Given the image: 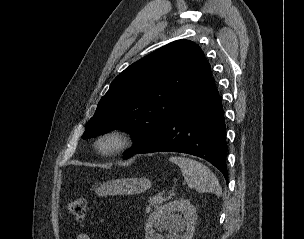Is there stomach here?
<instances>
[{"instance_id": "0dacf381", "label": "stomach", "mask_w": 304, "mask_h": 239, "mask_svg": "<svg viewBox=\"0 0 304 239\" xmlns=\"http://www.w3.org/2000/svg\"><path fill=\"white\" fill-rule=\"evenodd\" d=\"M151 184V180L145 177L120 178L104 182L96 189V193L99 196L117 194H138L148 190L151 187Z\"/></svg>"}]
</instances>
